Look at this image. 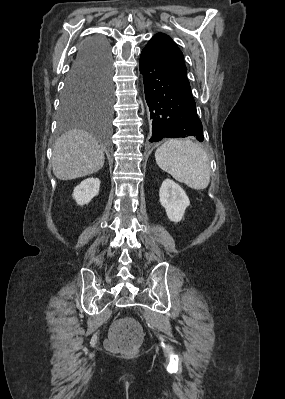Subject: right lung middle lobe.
<instances>
[{
    "mask_svg": "<svg viewBox=\"0 0 285 399\" xmlns=\"http://www.w3.org/2000/svg\"><path fill=\"white\" fill-rule=\"evenodd\" d=\"M112 98L111 67L94 65L71 70L61 95V129L91 111L107 121L111 114Z\"/></svg>",
    "mask_w": 285,
    "mask_h": 399,
    "instance_id": "1",
    "label": "right lung middle lobe"
}]
</instances>
